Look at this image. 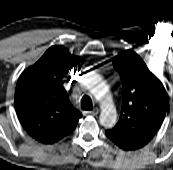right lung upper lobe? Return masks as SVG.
<instances>
[{
    "label": "right lung upper lobe",
    "mask_w": 173,
    "mask_h": 170,
    "mask_svg": "<svg viewBox=\"0 0 173 170\" xmlns=\"http://www.w3.org/2000/svg\"><path fill=\"white\" fill-rule=\"evenodd\" d=\"M81 58L60 45L20 75L14 97L15 110L25 131L43 144H52L70 134L81 113L68 100L63 83L68 71Z\"/></svg>",
    "instance_id": "1"
}]
</instances>
